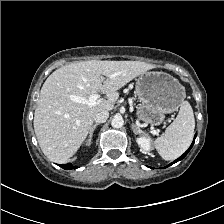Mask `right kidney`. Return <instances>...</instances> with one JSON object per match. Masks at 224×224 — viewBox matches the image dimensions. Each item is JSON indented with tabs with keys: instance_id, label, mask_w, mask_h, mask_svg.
I'll return each instance as SVG.
<instances>
[{
	"instance_id": "obj_1",
	"label": "right kidney",
	"mask_w": 224,
	"mask_h": 224,
	"mask_svg": "<svg viewBox=\"0 0 224 224\" xmlns=\"http://www.w3.org/2000/svg\"><path fill=\"white\" fill-rule=\"evenodd\" d=\"M90 142H91V139H89V144H90Z\"/></svg>"
}]
</instances>
